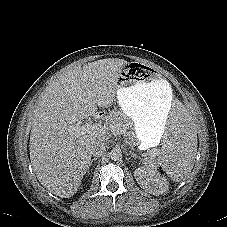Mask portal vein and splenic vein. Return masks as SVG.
Wrapping results in <instances>:
<instances>
[{
	"label": "portal vein and splenic vein",
	"mask_w": 227,
	"mask_h": 227,
	"mask_svg": "<svg viewBox=\"0 0 227 227\" xmlns=\"http://www.w3.org/2000/svg\"><path fill=\"white\" fill-rule=\"evenodd\" d=\"M69 130L72 131L77 136L81 134H86V133H94V134H100V135L106 134V129L103 125L99 123H91V122H88L83 125L76 124L74 127H70Z\"/></svg>",
	"instance_id": "portal-vein-and-splenic-vein-1"
}]
</instances>
